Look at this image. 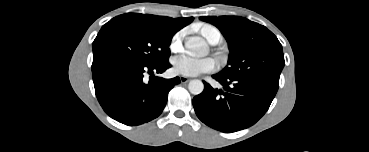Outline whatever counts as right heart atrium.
Here are the masks:
<instances>
[{"label":"right heart atrium","mask_w":369,"mask_h":152,"mask_svg":"<svg viewBox=\"0 0 369 152\" xmlns=\"http://www.w3.org/2000/svg\"><path fill=\"white\" fill-rule=\"evenodd\" d=\"M183 36H184V32L179 31L172 37L171 42H170V49L172 52L177 53L181 51Z\"/></svg>","instance_id":"1"}]
</instances>
